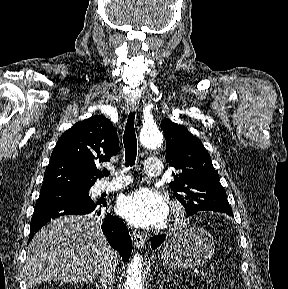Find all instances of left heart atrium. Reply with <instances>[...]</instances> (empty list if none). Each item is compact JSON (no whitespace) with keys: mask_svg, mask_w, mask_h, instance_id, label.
Instances as JSON below:
<instances>
[{"mask_svg":"<svg viewBox=\"0 0 288 289\" xmlns=\"http://www.w3.org/2000/svg\"><path fill=\"white\" fill-rule=\"evenodd\" d=\"M118 213L140 227L158 226L167 219L169 208L166 200L149 188H140L117 201Z\"/></svg>","mask_w":288,"mask_h":289,"instance_id":"1","label":"left heart atrium"}]
</instances>
